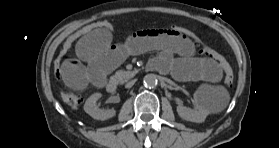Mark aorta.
<instances>
[{
	"label": "aorta",
	"instance_id": "obj_1",
	"mask_svg": "<svg viewBox=\"0 0 279 148\" xmlns=\"http://www.w3.org/2000/svg\"><path fill=\"white\" fill-rule=\"evenodd\" d=\"M143 83H144V86L147 88H154L158 84L157 76L155 74H147L144 77Z\"/></svg>",
	"mask_w": 279,
	"mask_h": 148
}]
</instances>
